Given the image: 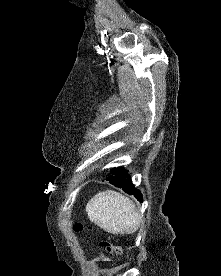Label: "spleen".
<instances>
[{
  "label": "spleen",
  "mask_w": 221,
  "mask_h": 276,
  "mask_svg": "<svg viewBox=\"0 0 221 276\" xmlns=\"http://www.w3.org/2000/svg\"><path fill=\"white\" fill-rule=\"evenodd\" d=\"M86 212L92 223L110 234H132L140 226L135 204L114 190L96 194L88 201Z\"/></svg>",
  "instance_id": "spleen-1"
}]
</instances>
